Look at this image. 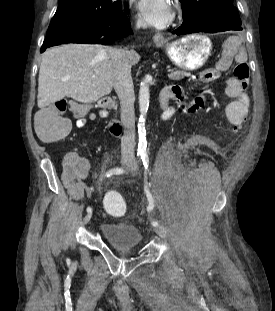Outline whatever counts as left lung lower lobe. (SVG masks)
Listing matches in <instances>:
<instances>
[{
    "label": "left lung lower lobe",
    "mask_w": 275,
    "mask_h": 311,
    "mask_svg": "<svg viewBox=\"0 0 275 311\" xmlns=\"http://www.w3.org/2000/svg\"><path fill=\"white\" fill-rule=\"evenodd\" d=\"M228 30H242L241 22H235L226 14H208L190 21H183V24L172 33L177 35L207 32L217 33Z\"/></svg>",
    "instance_id": "0a47b994"
}]
</instances>
